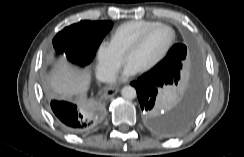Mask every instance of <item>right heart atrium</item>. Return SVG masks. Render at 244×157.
I'll use <instances>...</instances> for the list:
<instances>
[{
	"mask_svg": "<svg viewBox=\"0 0 244 157\" xmlns=\"http://www.w3.org/2000/svg\"><path fill=\"white\" fill-rule=\"evenodd\" d=\"M96 72L99 79L109 81L119 70L123 55L120 54L111 41H102L97 50Z\"/></svg>",
	"mask_w": 244,
	"mask_h": 157,
	"instance_id": "right-heart-atrium-1",
	"label": "right heart atrium"
}]
</instances>
